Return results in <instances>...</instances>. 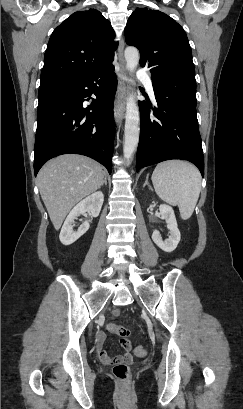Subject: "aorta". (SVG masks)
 Masks as SVG:
<instances>
[{
    "label": "aorta",
    "instance_id": "1",
    "mask_svg": "<svg viewBox=\"0 0 243 409\" xmlns=\"http://www.w3.org/2000/svg\"><path fill=\"white\" fill-rule=\"evenodd\" d=\"M124 56L126 68L133 73L139 64V51L135 47H127ZM130 81L134 84L133 80ZM125 118L123 153L125 159L129 161L137 148L140 131L139 108L133 92L127 98Z\"/></svg>",
    "mask_w": 243,
    "mask_h": 409
}]
</instances>
